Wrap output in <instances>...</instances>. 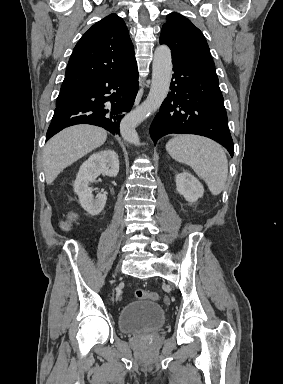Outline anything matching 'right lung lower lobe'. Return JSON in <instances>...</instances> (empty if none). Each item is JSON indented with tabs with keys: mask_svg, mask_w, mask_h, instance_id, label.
Masks as SVG:
<instances>
[{
	"mask_svg": "<svg viewBox=\"0 0 283 384\" xmlns=\"http://www.w3.org/2000/svg\"><path fill=\"white\" fill-rule=\"evenodd\" d=\"M137 91V65L129 71L85 83L57 103L46 141L75 124L96 125L120 135V121L131 110Z\"/></svg>",
	"mask_w": 283,
	"mask_h": 384,
	"instance_id": "right-lung-lower-lobe-1",
	"label": "right lung lower lobe"
}]
</instances>
